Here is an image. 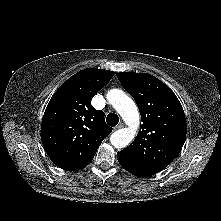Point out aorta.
Listing matches in <instances>:
<instances>
[{
  "label": "aorta",
  "mask_w": 221,
  "mask_h": 221,
  "mask_svg": "<svg viewBox=\"0 0 221 221\" xmlns=\"http://www.w3.org/2000/svg\"><path fill=\"white\" fill-rule=\"evenodd\" d=\"M107 100L129 126L128 128H122L112 133L110 142L116 149L125 148L135 138L140 125L138 108L134 101L119 89L110 90L107 94Z\"/></svg>",
  "instance_id": "762f6f07"
}]
</instances>
